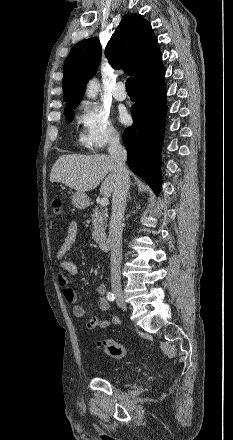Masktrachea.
<instances>
[{
	"mask_svg": "<svg viewBox=\"0 0 233 440\" xmlns=\"http://www.w3.org/2000/svg\"><path fill=\"white\" fill-rule=\"evenodd\" d=\"M126 91L134 92V80L133 77H129L125 83Z\"/></svg>",
	"mask_w": 233,
	"mask_h": 440,
	"instance_id": "trachea-1",
	"label": "trachea"
}]
</instances>
